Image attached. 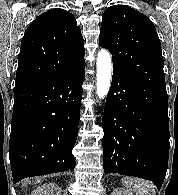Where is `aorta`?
<instances>
[{
	"instance_id": "1",
	"label": "aorta",
	"mask_w": 178,
	"mask_h": 195,
	"mask_svg": "<svg viewBox=\"0 0 178 195\" xmlns=\"http://www.w3.org/2000/svg\"><path fill=\"white\" fill-rule=\"evenodd\" d=\"M112 78V62L110 53L101 49L97 55V96L104 99L109 91Z\"/></svg>"
}]
</instances>
